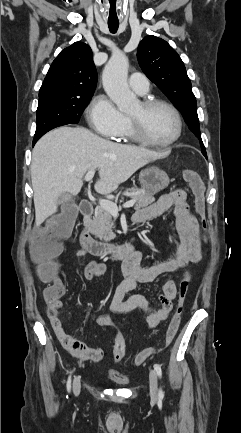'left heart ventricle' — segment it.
Returning a JSON list of instances; mask_svg holds the SVG:
<instances>
[{"mask_svg":"<svg viewBox=\"0 0 241 433\" xmlns=\"http://www.w3.org/2000/svg\"><path fill=\"white\" fill-rule=\"evenodd\" d=\"M129 116L141 123L144 131L152 140L166 142L174 137L177 131V123L173 113L166 107H155L145 110L138 103Z\"/></svg>","mask_w":241,"mask_h":433,"instance_id":"b2bd125f","label":"left heart ventricle"}]
</instances>
